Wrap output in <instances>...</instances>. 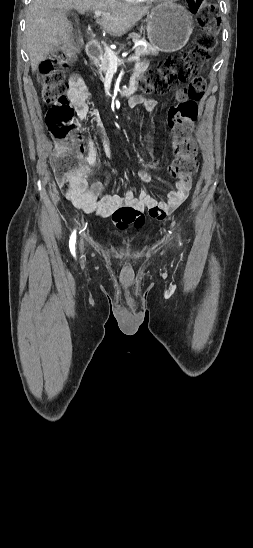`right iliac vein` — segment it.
<instances>
[{
    "label": "right iliac vein",
    "instance_id": "63e3f726",
    "mask_svg": "<svg viewBox=\"0 0 253 548\" xmlns=\"http://www.w3.org/2000/svg\"><path fill=\"white\" fill-rule=\"evenodd\" d=\"M80 248L83 250V241L80 242Z\"/></svg>",
    "mask_w": 253,
    "mask_h": 548
}]
</instances>
